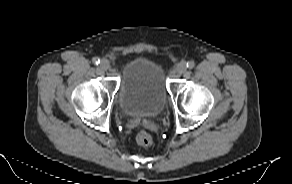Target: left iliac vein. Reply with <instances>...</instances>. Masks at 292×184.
Masks as SVG:
<instances>
[{"mask_svg": "<svg viewBox=\"0 0 292 184\" xmlns=\"http://www.w3.org/2000/svg\"><path fill=\"white\" fill-rule=\"evenodd\" d=\"M187 69L186 63L184 61H181L178 63L175 67V72L178 74H183Z\"/></svg>", "mask_w": 292, "mask_h": 184, "instance_id": "left-iliac-vein-1", "label": "left iliac vein"}]
</instances>
